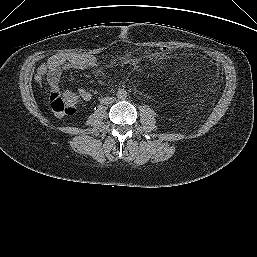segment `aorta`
<instances>
[{"mask_svg":"<svg viewBox=\"0 0 257 257\" xmlns=\"http://www.w3.org/2000/svg\"><path fill=\"white\" fill-rule=\"evenodd\" d=\"M116 95L119 100H125L127 98V91L125 89H119Z\"/></svg>","mask_w":257,"mask_h":257,"instance_id":"aorta-1","label":"aorta"}]
</instances>
